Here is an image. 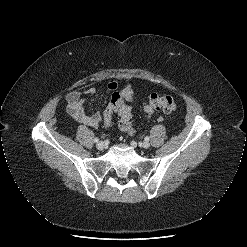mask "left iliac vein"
Segmentation results:
<instances>
[{
    "instance_id": "left-iliac-vein-1",
    "label": "left iliac vein",
    "mask_w": 247,
    "mask_h": 247,
    "mask_svg": "<svg viewBox=\"0 0 247 247\" xmlns=\"http://www.w3.org/2000/svg\"><path fill=\"white\" fill-rule=\"evenodd\" d=\"M142 146H143V148L147 149L150 147V143L148 141H144Z\"/></svg>"
}]
</instances>
